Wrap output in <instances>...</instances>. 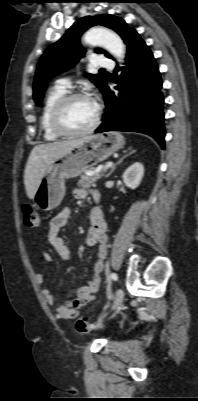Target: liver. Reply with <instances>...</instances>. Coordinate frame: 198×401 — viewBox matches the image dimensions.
<instances>
[{
	"mask_svg": "<svg viewBox=\"0 0 198 401\" xmlns=\"http://www.w3.org/2000/svg\"><path fill=\"white\" fill-rule=\"evenodd\" d=\"M86 139L87 137L40 144L32 149L24 171V184L29 199H34L50 164L69 150L84 143Z\"/></svg>",
	"mask_w": 198,
	"mask_h": 401,
	"instance_id": "liver-1",
	"label": "liver"
}]
</instances>
